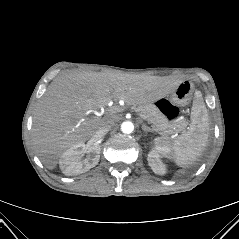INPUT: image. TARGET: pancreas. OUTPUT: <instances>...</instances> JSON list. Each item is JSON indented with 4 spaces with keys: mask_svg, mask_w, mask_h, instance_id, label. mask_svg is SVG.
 Here are the masks:
<instances>
[{
    "mask_svg": "<svg viewBox=\"0 0 239 239\" xmlns=\"http://www.w3.org/2000/svg\"><path fill=\"white\" fill-rule=\"evenodd\" d=\"M132 109L146 115L153 129L161 135L166 136L175 131H181L186 126V122L183 119L178 120L176 123H169L165 115L152 104L133 106Z\"/></svg>",
    "mask_w": 239,
    "mask_h": 239,
    "instance_id": "obj_1",
    "label": "pancreas"
}]
</instances>
